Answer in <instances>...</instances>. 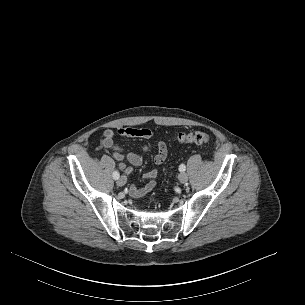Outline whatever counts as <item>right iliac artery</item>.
<instances>
[{
  "mask_svg": "<svg viewBox=\"0 0 305 305\" xmlns=\"http://www.w3.org/2000/svg\"><path fill=\"white\" fill-rule=\"evenodd\" d=\"M119 176H120V174H119L118 171H114V172H113V178H114L115 180L119 179Z\"/></svg>",
  "mask_w": 305,
  "mask_h": 305,
  "instance_id": "1",
  "label": "right iliac artery"
}]
</instances>
